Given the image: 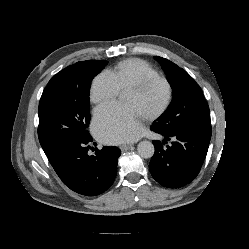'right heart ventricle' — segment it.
Returning a JSON list of instances; mask_svg holds the SVG:
<instances>
[{
	"label": "right heart ventricle",
	"mask_w": 249,
	"mask_h": 249,
	"mask_svg": "<svg viewBox=\"0 0 249 249\" xmlns=\"http://www.w3.org/2000/svg\"><path fill=\"white\" fill-rule=\"evenodd\" d=\"M109 74L118 84L120 91H126L137 82L152 76H158V71L149 63L138 58H130L119 62Z\"/></svg>",
	"instance_id": "1"
}]
</instances>
